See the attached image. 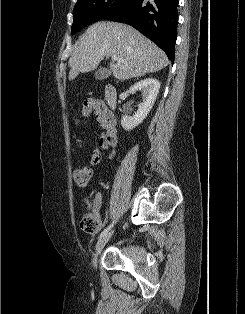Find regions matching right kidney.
Here are the masks:
<instances>
[{"mask_svg": "<svg viewBox=\"0 0 245 314\" xmlns=\"http://www.w3.org/2000/svg\"><path fill=\"white\" fill-rule=\"evenodd\" d=\"M159 89V81L153 78L141 80L130 88L131 93L142 90L144 99L143 102L138 105V110L132 117L122 116L121 125L124 130L130 131L143 122L155 103Z\"/></svg>", "mask_w": 245, "mask_h": 314, "instance_id": "right-kidney-1", "label": "right kidney"}]
</instances>
